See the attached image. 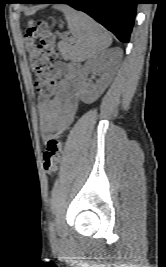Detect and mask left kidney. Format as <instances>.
<instances>
[{
    "label": "left kidney",
    "instance_id": "5707ae66",
    "mask_svg": "<svg viewBox=\"0 0 166 267\" xmlns=\"http://www.w3.org/2000/svg\"><path fill=\"white\" fill-rule=\"evenodd\" d=\"M107 58V52L100 53L90 58L82 69L78 79V92L80 99L86 104L95 102L103 94L110 83ZM90 71H94L100 75V78L95 84H92L87 80Z\"/></svg>",
    "mask_w": 166,
    "mask_h": 267
}]
</instances>
